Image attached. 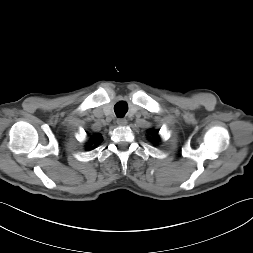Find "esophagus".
Returning a JSON list of instances; mask_svg holds the SVG:
<instances>
[{
    "mask_svg": "<svg viewBox=\"0 0 253 253\" xmlns=\"http://www.w3.org/2000/svg\"><path fill=\"white\" fill-rule=\"evenodd\" d=\"M116 122L119 126H125L127 124V120L125 118H118Z\"/></svg>",
    "mask_w": 253,
    "mask_h": 253,
    "instance_id": "34e87169",
    "label": "esophagus"
}]
</instances>
